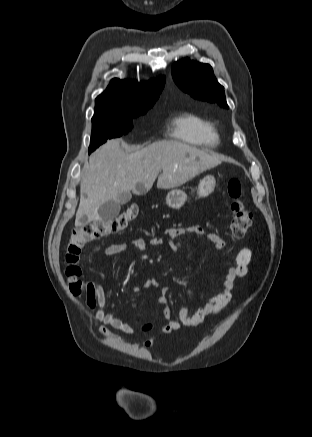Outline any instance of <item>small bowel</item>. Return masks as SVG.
I'll return each instance as SVG.
<instances>
[{
	"label": "small bowel",
	"mask_w": 312,
	"mask_h": 437,
	"mask_svg": "<svg viewBox=\"0 0 312 437\" xmlns=\"http://www.w3.org/2000/svg\"><path fill=\"white\" fill-rule=\"evenodd\" d=\"M185 235H196L206 238L215 249L228 255L231 266L223 278L221 289L216 294L211 296L203 306L198 307L193 313H190L187 306L181 307L178 311L177 319L173 317L169 301L165 295L167 288L163 287L158 297V303L162 307L166 323L160 326L155 336L144 342L146 347L152 346L160 336L178 331L182 327L199 326L207 317L219 313L231 301L232 289L236 279L245 276L249 266L253 262L254 256L250 248L244 247L237 254H231L225 240L201 226L170 227L165 231V237L174 252L181 251L179 239ZM152 242L159 243L161 239L154 237ZM128 246H132L138 250H144L147 247V241L142 238H134L129 242L114 243L107 246L103 254L107 257L119 255L123 253ZM158 286L159 282L155 279H147L143 284V287L146 289L156 288ZM87 288L86 306L89 310L95 311L96 319L103 324L99 328V333L102 336L114 341H124L125 339L122 336L113 333L109 328L119 330L128 335L136 334L137 332L148 333L153 330L156 323L155 320L143 322L138 325H131L121 318L108 313L106 311L107 296L102 285L95 282H88ZM132 291L137 293L140 291V287L134 286Z\"/></svg>",
	"instance_id": "obj_1"
}]
</instances>
